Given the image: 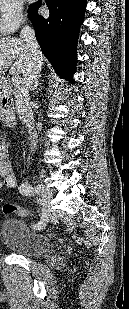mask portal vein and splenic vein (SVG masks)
<instances>
[{"label":"portal vein and splenic vein","mask_w":129,"mask_h":309,"mask_svg":"<svg viewBox=\"0 0 129 309\" xmlns=\"http://www.w3.org/2000/svg\"><path fill=\"white\" fill-rule=\"evenodd\" d=\"M12 83H13V85H16V84H18L19 83V79H18V77H13L12 78Z\"/></svg>","instance_id":"portal-vein-and-splenic-vein-1"}]
</instances>
